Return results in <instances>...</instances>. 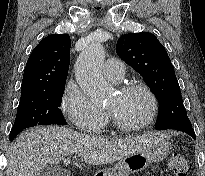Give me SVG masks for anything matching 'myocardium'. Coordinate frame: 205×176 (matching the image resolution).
<instances>
[{"label": "myocardium", "instance_id": "1", "mask_svg": "<svg viewBox=\"0 0 205 176\" xmlns=\"http://www.w3.org/2000/svg\"><path fill=\"white\" fill-rule=\"evenodd\" d=\"M133 91H141L149 99L151 109H150V113L148 117L145 120H143L142 122L138 124H126L123 121H121L119 117L113 111L107 110L115 127L118 128L119 130L126 131V132H133V131H138V130L146 128L155 120L157 113H158L157 98L155 94L153 93V91L147 85L141 82H132V83L123 85L119 89L118 92L120 94H126V93H130Z\"/></svg>", "mask_w": 205, "mask_h": 176}]
</instances>
